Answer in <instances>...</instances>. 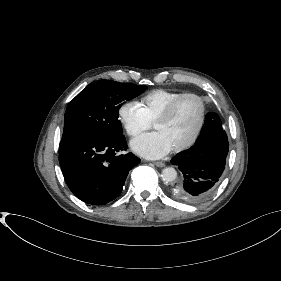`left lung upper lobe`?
<instances>
[{"label":"left lung upper lobe","mask_w":281,"mask_h":281,"mask_svg":"<svg viewBox=\"0 0 281 281\" xmlns=\"http://www.w3.org/2000/svg\"><path fill=\"white\" fill-rule=\"evenodd\" d=\"M210 116L212 119L216 120L217 122H220V125H221V121L216 113H210Z\"/></svg>","instance_id":"1"}]
</instances>
